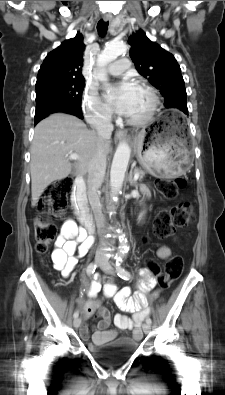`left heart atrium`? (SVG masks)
I'll return each mask as SVG.
<instances>
[{
    "instance_id": "left-heart-atrium-1",
    "label": "left heart atrium",
    "mask_w": 225,
    "mask_h": 395,
    "mask_svg": "<svg viewBox=\"0 0 225 395\" xmlns=\"http://www.w3.org/2000/svg\"><path fill=\"white\" fill-rule=\"evenodd\" d=\"M138 89L134 83L123 81L107 92L105 98L110 109L120 115L129 116L134 107Z\"/></svg>"
}]
</instances>
